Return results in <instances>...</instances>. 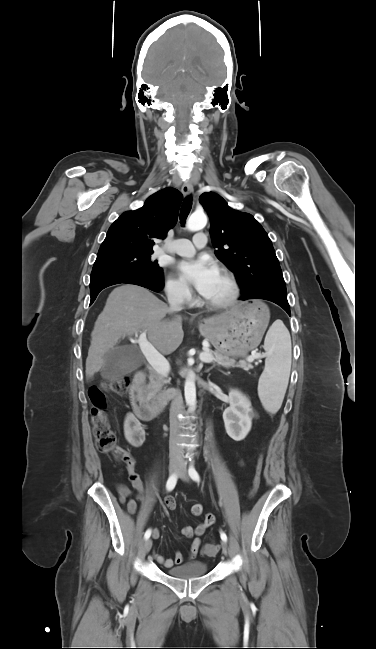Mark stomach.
Returning a JSON list of instances; mask_svg holds the SVG:
<instances>
[{"label":"stomach","mask_w":376,"mask_h":649,"mask_svg":"<svg viewBox=\"0 0 376 649\" xmlns=\"http://www.w3.org/2000/svg\"><path fill=\"white\" fill-rule=\"evenodd\" d=\"M269 323V310L259 301L241 302L229 313L203 319L201 335L224 356L236 357L257 348Z\"/></svg>","instance_id":"stomach-1"}]
</instances>
